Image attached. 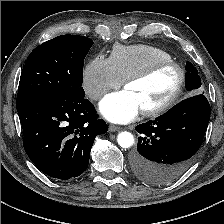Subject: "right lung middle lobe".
Wrapping results in <instances>:
<instances>
[{
    "label": "right lung middle lobe",
    "mask_w": 224,
    "mask_h": 224,
    "mask_svg": "<svg viewBox=\"0 0 224 224\" xmlns=\"http://www.w3.org/2000/svg\"><path fill=\"white\" fill-rule=\"evenodd\" d=\"M93 41L79 35H62L36 47L21 73L16 100L17 111L34 99L60 96L85 97L83 65Z\"/></svg>",
    "instance_id": "dd1d6c3e"
}]
</instances>
